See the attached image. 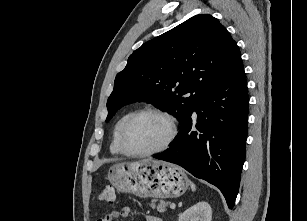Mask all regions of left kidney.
Instances as JSON below:
<instances>
[{"mask_svg": "<svg viewBox=\"0 0 307 221\" xmlns=\"http://www.w3.org/2000/svg\"><path fill=\"white\" fill-rule=\"evenodd\" d=\"M212 209L211 206L204 201L198 202L185 210L178 221H211Z\"/></svg>", "mask_w": 307, "mask_h": 221, "instance_id": "5707ae66", "label": "left kidney"}]
</instances>
